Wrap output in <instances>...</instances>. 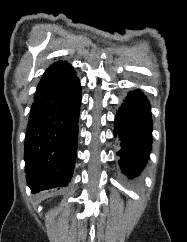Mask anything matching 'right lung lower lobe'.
Here are the masks:
<instances>
[{"label": "right lung lower lobe", "mask_w": 187, "mask_h": 242, "mask_svg": "<svg viewBox=\"0 0 187 242\" xmlns=\"http://www.w3.org/2000/svg\"><path fill=\"white\" fill-rule=\"evenodd\" d=\"M81 86L76 73L37 88L27 126L24 160L31 192L70 182L76 160Z\"/></svg>", "instance_id": "1"}]
</instances>
